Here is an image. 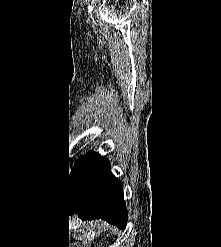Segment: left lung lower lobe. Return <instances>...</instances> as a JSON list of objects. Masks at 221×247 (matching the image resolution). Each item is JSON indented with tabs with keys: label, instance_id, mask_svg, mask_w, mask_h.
Listing matches in <instances>:
<instances>
[{
	"label": "left lung lower lobe",
	"instance_id": "left-lung-lower-lobe-1",
	"mask_svg": "<svg viewBox=\"0 0 221 247\" xmlns=\"http://www.w3.org/2000/svg\"><path fill=\"white\" fill-rule=\"evenodd\" d=\"M66 200L84 220L101 218L120 229L126 226L123 183L99 153L88 152L83 157L67 186Z\"/></svg>",
	"mask_w": 221,
	"mask_h": 247
}]
</instances>
